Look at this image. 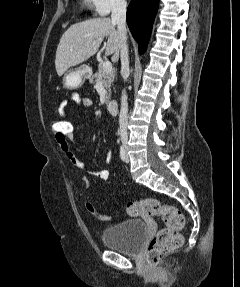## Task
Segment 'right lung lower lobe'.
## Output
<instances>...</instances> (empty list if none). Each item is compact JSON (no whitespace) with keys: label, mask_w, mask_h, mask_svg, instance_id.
Instances as JSON below:
<instances>
[{"label":"right lung lower lobe","mask_w":240,"mask_h":287,"mask_svg":"<svg viewBox=\"0 0 240 287\" xmlns=\"http://www.w3.org/2000/svg\"><path fill=\"white\" fill-rule=\"evenodd\" d=\"M159 0H131L127 9V23L134 39L138 42L139 53L147 48L153 20Z\"/></svg>","instance_id":"1"}]
</instances>
